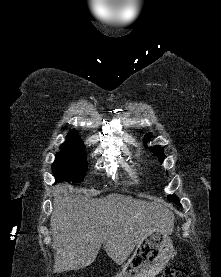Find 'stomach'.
<instances>
[{"label":"stomach","mask_w":221,"mask_h":277,"mask_svg":"<svg viewBox=\"0 0 221 277\" xmlns=\"http://www.w3.org/2000/svg\"><path fill=\"white\" fill-rule=\"evenodd\" d=\"M173 253L174 246L169 234L156 230L137 244L118 277H155Z\"/></svg>","instance_id":"obj_1"}]
</instances>
